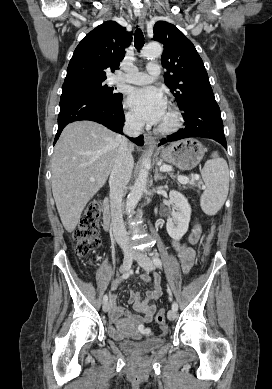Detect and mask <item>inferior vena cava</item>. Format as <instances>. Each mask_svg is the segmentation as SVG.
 <instances>
[{"label": "inferior vena cava", "mask_w": 272, "mask_h": 389, "mask_svg": "<svg viewBox=\"0 0 272 389\" xmlns=\"http://www.w3.org/2000/svg\"><path fill=\"white\" fill-rule=\"evenodd\" d=\"M143 125L144 123L141 120L133 116H126L123 132L130 137H137L141 134ZM119 142V148L109 179L111 225L116 242L125 254H129L133 252V249L123 222L122 198L124 189L132 175L134 160L128 139L124 136H119Z\"/></svg>", "instance_id": "1"}]
</instances>
